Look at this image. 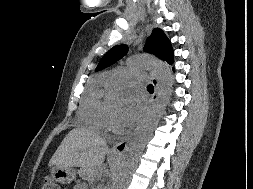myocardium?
Wrapping results in <instances>:
<instances>
[{"mask_svg": "<svg viewBox=\"0 0 253 189\" xmlns=\"http://www.w3.org/2000/svg\"><path fill=\"white\" fill-rule=\"evenodd\" d=\"M110 126L112 128H117L116 116L112 113H111V116H110Z\"/></svg>", "mask_w": 253, "mask_h": 189, "instance_id": "obj_1", "label": "myocardium"}]
</instances>
